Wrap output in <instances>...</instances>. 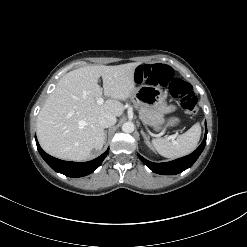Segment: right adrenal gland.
Wrapping results in <instances>:
<instances>
[{"label":"right adrenal gland","instance_id":"2a0ac1e0","mask_svg":"<svg viewBox=\"0 0 247 247\" xmlns=\"http://www.w3.org/2000/svg\"><path fill=\"white\" fill-rule=\"evenodd\" d=\"M104 139L106 141V139H107V131L104 132Z\"/></svg>","mask_w":247,"mask_h":247}]
</instances>
